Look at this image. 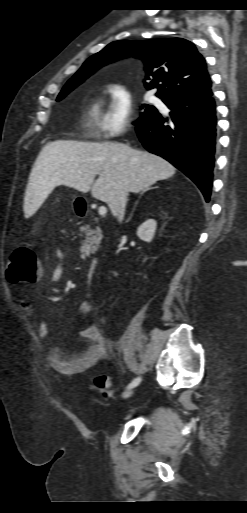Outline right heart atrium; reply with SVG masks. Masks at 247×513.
I'll return each mask as SVG.
<instances>
[{
	"label": "right heart atrium",
	"mask_w": 247,
	"mask_h": 513,
	"mask_svg": "<svg viewBox=\"0 0 247 513\" xmlns=\"http://www.w3.org/2000/svg\"><path fill=\"white\" fill-rule=\"evenodd\" d=\"M109 94V103L99 122L100 134L106 139L116 138L125 133L134 109L133 97L125 85H110Z\"/></svg>",
	"instance_id": "obj_1"
}]
</instances>
